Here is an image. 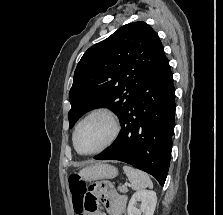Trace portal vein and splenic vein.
I'll list each match as a JSON object with an SVG mask.
<instances>
[{"label":"portal vein and splenic vein","mask_w":223,"mask_h":215,"mask_svg":"<svg viewBox=\"0 0 223 215\" xmlns=\"http://www.w3.org/2000/svg\"><path fill=\"white\" fill-rule=\"evenodd\" d=\"M125 182H126V183L123 184V187H124V188H127V187H128V183H129L130 181L127 179Z\"/></svg>","instance_id":"portal-vein-and-splenic-vein-1"}]
</instances>
